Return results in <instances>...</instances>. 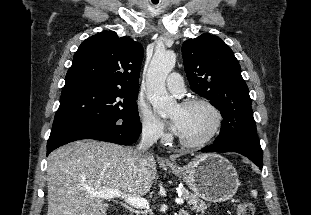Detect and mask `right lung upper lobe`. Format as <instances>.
Masks as SVG:
<instances>
[{
    "mask_svg": "<svg viewBox=\"0 0 311 215\" xmlns=\"http://www.w3.org/2000/svg\"><path fill=\"white\" fill-rule=\"evenodd\" d=\"M143 47L128 37L104 31L87 38L76 51L65 86L94 84L137 91Z\"/></svg>",
    "mask_w": 311,
    "mask_h": 215,
    "instance_id": "1",
    "label": "right lung upper lobe"
}]
</instances>
